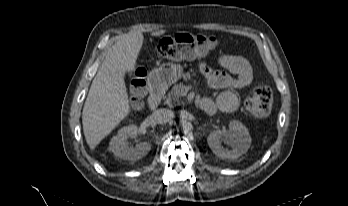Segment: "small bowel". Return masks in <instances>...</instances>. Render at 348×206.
I'll return each instance as SVG.
<instances>
[{"mask_svg":"<svg viewBox=\"0 0 348 206\" xmlns=\"http://www.w3.org/2000/svg\"><path fill=\"white\" fill-rule=\"evenodd\" d=\"M200 71L208 87L223 90L215 101L209 97L202 99L201 107L207 114H213L217 107L225 112L235 110L239 99L233 90L248 86L253 79L250 63L244 57L237 55L220 56L217 68L202 63Z\"/></svg>","mask_w":348,"mask_h":206,"instance_id":"1","label":"small bowel"}]
</instances>
